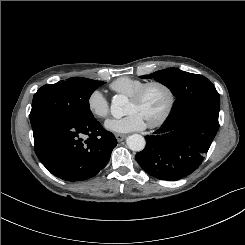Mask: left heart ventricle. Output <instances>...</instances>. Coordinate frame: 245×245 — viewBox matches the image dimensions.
I'll use <instances>...</instances> for the list:
<instances>
[{
	"mask_svg": "<svg viewBox=\"0 0 245 245\" xmlns=\"http://www.w3.org/2000/svg\"><path fill=\"white\" fill-rule=\"evenodd\" d=\"M167 94L159 87L150 88L143 99L139 102L128 101L125 113L139 114L146 124L156 120L165 110L167 105Z\"/></svg>",
	"mask_w": 245,
	"mask_h": 245,
	"instance_id": "1",
	"label": "left heart ventricle"
}]
</instances>
